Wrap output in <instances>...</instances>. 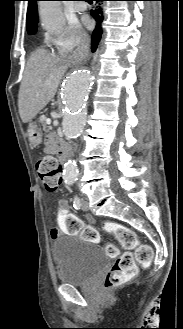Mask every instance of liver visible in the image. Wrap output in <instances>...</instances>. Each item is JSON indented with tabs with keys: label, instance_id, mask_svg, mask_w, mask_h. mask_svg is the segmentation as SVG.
Listing matches in <instances>:
<instances>
[{
	"label": "liver",
	"instance_id": "obj_1",
	"mask_svg": "<svg viewBox=\"0 0 183 329\" xmlns=\"http://www.w3.org/2000/svg\"><path fill=\"white\" fill-rule=\"evenodd\" d=\"M67 66L65 60L51 57L44 50L32 53L18 95L24 123L30 122L54 97Z\"/></svg>",
	"mask_w": 183,
	"mask_h": 329
}]
</instances>
